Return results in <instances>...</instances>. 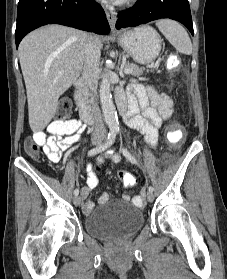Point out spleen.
<instances>
[{
  "label": "spleen",
  "instance_id": "3e777b00",
  "mask_svg": "<svg viewBox=\"0 0 227 279\" xmlns=\"http://www.w3.org/2000/svg\"><path fill=\"white\" fill-rule=\"evenodd\" d=\"M156 26L178 52L186 55L192 53V43L189 35L179 23L163 19L157 21Z\"/></svg>",
  "mask_w": 227,
  "mask_h": 279
}]
</instances>
